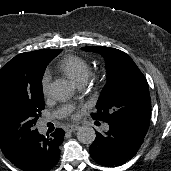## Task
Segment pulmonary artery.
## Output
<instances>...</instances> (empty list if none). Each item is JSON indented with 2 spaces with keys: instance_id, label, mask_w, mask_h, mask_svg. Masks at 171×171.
I'll return each mask as SVG.
<instances>
[{
  "instance_id": "pulmonary-artery-1",
  "label": "pulmonary artery",
  "mask_w": 171,
  "mask_h": 171,
  "mask_svg": "<svg viewBox=\"0 0 171 171\" xmlns=\"http://www.w3.org/2000/svg\"><path fill=\"white\" fill-rule=\"evenodd\" d=\"M84 83H85V82L79 83L78 85H79L80 87H82V86L84 85ZM67 111H68V109L63 110V111H59V112H57L55 115H56V116H60V115H62V114H64V113H66ZM103 128H104L105 130H108V128H109L108 124H104Z\"/></svg>"
}]
</instances>
